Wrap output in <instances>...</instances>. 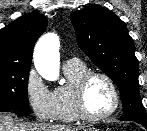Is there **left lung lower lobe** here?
Wrapping results in <instances>:
<instances>
[{
  "mask_svg": "<svg viewBox=\"0 0 147 131\" xmlns=\"http://www.w3.org/2000/svg\"><path fill=\"white\" fill-rule=\"evenodd\" d=\"M138 123V122H137ZM147 129V123H139Z\"/></svg>",
  "mask_w": 147,
  "mask_h": 131,
  "instance_id": "obj_1",
  "label": "left lung lower lobe"
}]
</instances>
